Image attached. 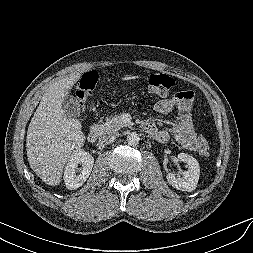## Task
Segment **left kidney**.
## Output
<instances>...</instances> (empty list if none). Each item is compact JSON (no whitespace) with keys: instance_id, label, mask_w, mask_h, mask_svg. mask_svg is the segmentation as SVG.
I'll use <instances>...</instances> for the list:
<instances>
[{"instance_id":"5707ae66","label":"left kidney","mask_w":253,"mask_h":253,"mask_svg":"<svg viewBox=\"0 0 253 253\" xmlns=\"http://www.w3.org/2000/svg\"><path fill=\"white\" fill-rule=\"evenodd\" d=\"M178 159L186 163L187 171L182 172V177L177 178L172 172L167 173V181L177 190L191 192L196 189L199 175L200 166L198 161L187 153L178 154Z\"/></svg>"}]
</instances>
